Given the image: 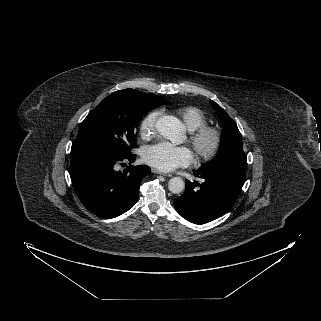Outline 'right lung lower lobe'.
Instances as JSON below:
<instances>
[{
    "instance_id": "right-lung-lower-lobe-1",
    "label": "right lung lower lobe",
    "mask_w": 321,
    "mask_h": 321,
    "mask_svg": "<svg viewBox=\"0 0 321 321\" xmlns=\"http://www.w3.org/2000/svg\"><path fill=\"white\" fill-rule=\"evenodd\" d=\"M136 156L112 158L93 152L71 154L70 177L82 204L101 218H114L128 211L138 200L139 186L150 167L128 166L115 171L119 163Z\"/></svg>"
}]
</instances>
